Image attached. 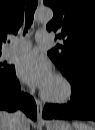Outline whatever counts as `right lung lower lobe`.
<instances>
[{
  "instance_id": "98d812e1",
  "label": "right lung lower lobe",
  "mask_w": 95,
  "mask_h": 130,
  "mask_svg": "<svg viewBox=\"0 0 95 130\" xmlns=\"http://www.w3.org/2000/svg\"><path fill=\"white\" fill-rule=\"evenodd\" d=\"M20 102L21 106L19 105ZM19 106L27 116L36 120L37 109L34 99L28 94L20 95L19 82L15 75V68L11 66V71L9 73L0 76V109L12 112Z\"/></svg>"
}]
</instances>
